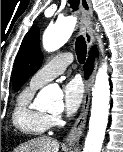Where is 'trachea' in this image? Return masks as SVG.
Returning a JSON list of instances; mask_svg holds the SVG:
<instances>
[{"mask_svg": "<svg viewBox=\"0 0 123 152\" xmlns=\"http://www.w3.org/2000/svg\"><path fill=\"white\" fill-rule=\"evenodd\" d=\"M68 3H70L73 10L78 9L79 0H68ZM75 48L79 63H84L86 57V42L82 36L76 39Z\"/></svg>", "mask_w": 123, "mask_h": 152, "instance_id": "3493384b", "label": "trachea"}]
</instances>
